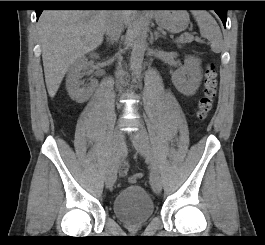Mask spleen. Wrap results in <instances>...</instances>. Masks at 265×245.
Wrapping results in <instances>:
<instances>
[{"instance_id": "obj_1", "label": "spleen", "mask_w": 265, "mask_h": 245, "mask_svg": "<svg viewBox=\"0 0 265 245\" xmlns=\"http://www.w3.org/2000/svg\"><path fill=\"white\" fill-rule=\"evenodd\" d=\"M192 14L197 21L201 35L210 42L212 51L220 53L223 49V39L215 19L204 10H194Z\"/></svg>"}]
</instances>
